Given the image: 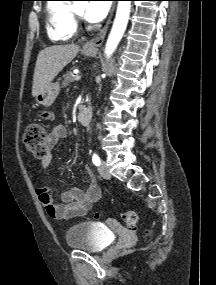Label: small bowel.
I'll return each mask as SVG.
<instances>
[{
  "label": "small bowel",
  "instance_id": "obj_1",
  "mask_svg": "<svg viewBox=\"0 0 216 285\" xmlns=\"http://www.w3.org/2000/svg\"><path fill=\"white\" fill-rule=\"evenodd\" d=\"M68 135L67 128L64 125H56L48 136V149L53 148L57 142L66 138ZM51 161V154L42 160V166L48 167ZM88 181L87 188H71L62 193L63 204H57L50 194V184H47L37 190V195L44 206L47 214L53 219L68 220L74 217H80L87 213L91 205L101 199L102 193L96 184L95 177L90 170H87Z\"/></svg>",
  "mask_w": 216,
  "mask_h": 285
}]
</instances>
